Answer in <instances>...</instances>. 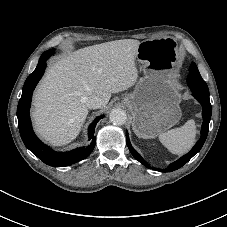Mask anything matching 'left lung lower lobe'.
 <instances>
[{"label":"left lung lower lobe","mask_w":227,"mask_h":227,"mask_svg":"<svg viewBox=\"0 0 227 227\" xmlns=\"http://www.w3.org/2000/svg\"><path fill=\"white\" fill-rule=\"evenodd\" d=\"M193 96L200 102V104L203 107L202 116H203V124H202V130H201V137L195 144V146L191 149L189 153L182 156L177 161L171 163L168 168L166 169H157L160 172H172L174 170H177L181 168L185 163H187L196 153L200 151L202 148L208 134L209 130V122L211 119V113H212V107L210 104L209 95L204 94L198 90L191 89ZM126 142L128 145V148L132 155L144 166L151 168L150 165L135 151V149L131 146L128 133L126 132Z\"/></svg>","instance_id":"0a47b994"}]
</instances>
